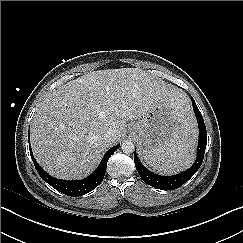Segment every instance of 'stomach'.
<instances>
[{"label": "stomach", "instance_id": "obj_1", "mask_svg": "<svg viewBox=\"0 0 243 243\" xmlns=\"http://www.w3.org/2000/svg\"><path fill=\"white\" fill-rule=\"evenodd\" d=\"M180 127V121L174 108L167 102H159L143 118L128 126L131 136L143 153H153L167 145Z\"/></svg>", "mask_w": 243, "mask_h": 243}]
</instances>
